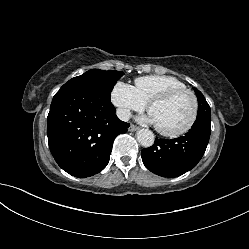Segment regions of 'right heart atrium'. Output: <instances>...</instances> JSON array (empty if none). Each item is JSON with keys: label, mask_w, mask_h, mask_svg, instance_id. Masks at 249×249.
I'll use <instances>...</instances> for the list:
<instances>
[{"label": "right heart atrium", "mask_w": 249, "mask_h": 249, "mask_svg": "<svg viewBox=\"0 0 249 249\" xmlns=\"http://www.w3.org/2000/svg\"><path fill=\"white\" fill-rule=\"evenodd\" d=\"M111 101L123 119L128 118L132 111H140L146 107V103L138 95L135 87L121 81L114 85Z\"/></svg>", "instance_id": "1"}]
</instances>
